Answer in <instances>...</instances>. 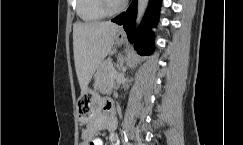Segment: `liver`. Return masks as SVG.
Listing matches in <instances>:
<instances>
[{
  "label": "liver",
  "instance_id": "liver-1",
  "mask_svg": "<svg viewBox=\"0 0 243 145\" xmlns=\"http://www.w3.org/2000/svg\"><path fill=\"white\" fill-rule=\"evenodd\" d=\"M119 26L106 22H76L73 25V50L81 93L111 51Z\"/></svg>",
  "mask_w": 243,
  "mask_h": 145
}]
</instances>
